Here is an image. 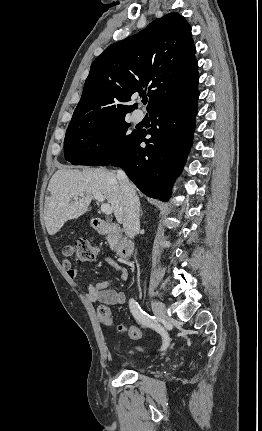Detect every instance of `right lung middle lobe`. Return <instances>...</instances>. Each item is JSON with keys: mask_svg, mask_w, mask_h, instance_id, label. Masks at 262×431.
<instances>
[{"mask_svg": "<svg viewBox=\"0 0 262 431\" xmlns=\"http://www.w3.org/2000/svg\"><path fill=\"white\" fill-rule=\"evenodd\" d=\"M125 116L71 122L64 140L65 159L73 165L104 166L120 156L137 134Z\"/></svg>", "mask_w": 262, "mask_h": 431, "instance_id": "dd1d6c3e", "label": "right lung middle lobe"}]
</instances>
